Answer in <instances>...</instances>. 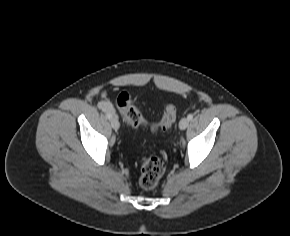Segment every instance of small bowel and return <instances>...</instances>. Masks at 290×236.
<instances>
[{
  "mask_svg": "<svg viewBox=\"0 0 290 236\" xmlns=\"http://www.w3.org/2000/svg\"><path fill=\"white\" fill-rule=\"evenodd\" d=\"M105 96V95H104ZM100 108L112 112V106L107 99H103L100 103Z\"/></svg>",
  "mask_w": 290,
  "mask_h": 236,
  "instance_id": "1",
  "label": "small bowel"
}]
</instances>
